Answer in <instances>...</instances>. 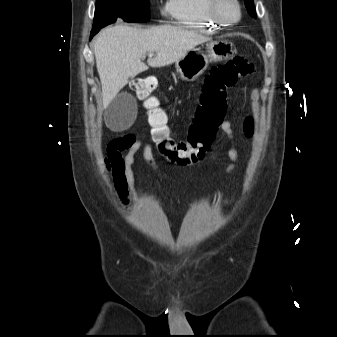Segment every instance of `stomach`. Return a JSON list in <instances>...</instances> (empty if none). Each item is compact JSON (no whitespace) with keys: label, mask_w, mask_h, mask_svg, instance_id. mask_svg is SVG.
Wrapping results in <instances>:
<instances>
[{"label":"stomach","mask_w":337,"mask_h":337,"mask_svg":"<svg viewBox=\"0 0 337 337\" xmlns=\"http://www.w3.org/2000/svg\"><path fill=\"white\" fill-rule=\"evenodd\" d=\"M234 52L233 43L227 40L210 41L206 44V52L193 48L176 61V72L183 80L194 81L206 70L209 62L228 59Z\"/></svg>","instance_id":"stomach-1"}]
</instances>
